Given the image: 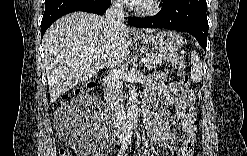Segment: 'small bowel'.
<instances>
[{"instance_id": "small-bowel-1", "label": "small bowel", "mask_w": 247, "mask_h": 156, "mask_svg": "<svg viewBox=\"0 0 247 156\" xmlns=\"http://www.w3.org/2000/svg\"><path fill=\"white\" fill-rule=\"evenodd\" d=\"M166 97V105L175 107L171 116L168 108L155 112V103L160 96ZM186 93L177 83H167L165 74L159 73L150 81L146 89V106L151 110L152 117L147 121V132L153 145L160 144L169 149L172 155H192L196 138V110L187 111ZM175 128L183 131L178 140ZM154 153V151H151Z\"/></svg>"}]
</instances>
